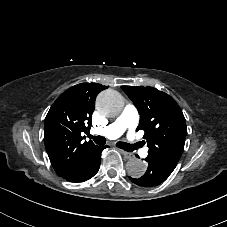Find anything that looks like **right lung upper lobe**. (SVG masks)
<instances>
[{"mask_svg": "<svg viewBox=\"0 0 227 227\" xmlns=\"http://www.w3.org/2000/svg\"><path fill=\"white\" fill-rule=\"evenodd\" d=\"M106 88L96 83L75 85L57 98L46 115L44 142L58 176L72 170L96 146L91 140L84 142L83 134L92 124L96 96Z\"/></svg>", "mask_w": 227, "mask_h": 227, "instance_id": "obj_1", "label": "right lung upper lobe"}]
</instances>
